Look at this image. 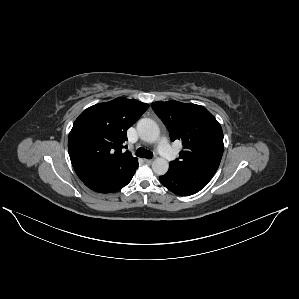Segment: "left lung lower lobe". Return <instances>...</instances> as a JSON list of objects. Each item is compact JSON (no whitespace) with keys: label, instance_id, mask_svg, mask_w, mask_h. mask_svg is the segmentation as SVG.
<instances>
[{"label":"left lung lower lobe","instance_id":"1","mask_svg":"<svg viewBox=\"0 0 299 299\" xmlns=\"http://www.w3.org/2000/svg\"><path fill=\"white\" fill-rule=\"evenodd\" d=\"M216 171L207 169L177 170L169 167L168 172L160 176V182L177 195H192L204 188Z\"/></svg>","mask_w":299,"mask_h":299}]
</instances>
